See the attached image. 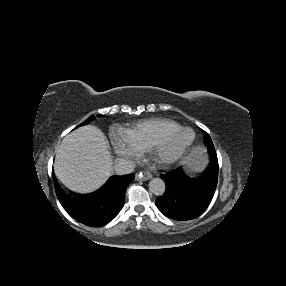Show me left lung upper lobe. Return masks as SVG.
Instances as JSON below:
<instances>
[{"mask_svg": "<svg viewBox=\"0 0 286 286\" xmlns=\"http://www.w3.org/2000/svg\"><path fill=\"white\" fill-rule=\"evenodd\" d=\"M203 138H204V144L206 145L208 150L209 151L214 150V145L212 143V140H211L210 136L205 131H203Z\"/></svg>", "mask_w": 286, "mask_h": 286, "instance_id": "1", "label": "left lung upper lobe"}]
</instances>
